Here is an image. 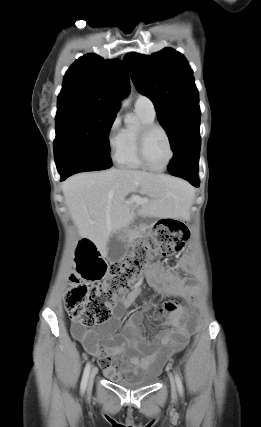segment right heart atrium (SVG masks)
<instances>
[{
	"instance_id": "obj_1",
	"label": "right heart atrium",
	"mask_w": 261,
	"mask_h": 427,
	"mask_svg": "<svg viewBox=\"0 0 261 427\" xmlns=\"http://www.w3.org/2000/svg\"><path fill=\"white\" fill-rule=\"evenodd\" d=\"M121 131L120 119L118 116H115L108 126L106 135L108 147L114 153L117 151L120 144Z\"/></svg>"
}]
</instances>
